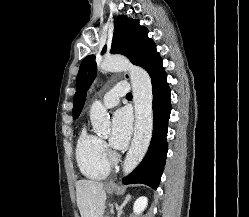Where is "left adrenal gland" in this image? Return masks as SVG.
I'll return each mask as SVG.
<instances>
[{
  "instance_id": "1",
  "label": "left adrenal gland",
  "mask_w": 249,
  "mask_h": 217,
  "mask_svg": "<svg viewBox=\"0 0 249 217\" xmlns=\"http://www.w3.org/2000/svg\"><path fill=\"white\" fill-rule=\"evenodd\" d=\"M131 199V195H127L124 202L118 206L116 205V209L118 211L117 217H121L122 213H123V207L128 203V201Z\"/></svg>"
}]
</instances>
